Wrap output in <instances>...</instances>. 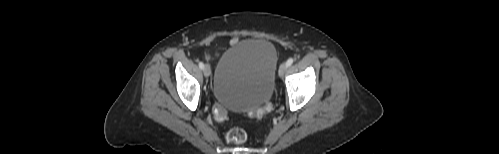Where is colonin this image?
I'll list each match as a JSON object with an SVG mask.
<instances>
[{"instance_id":"colon-1","label":"colon","mask_w":499,"mask_h":154,"mask_svg":"<svg viewBox=\"0 0 499 154\" xmlns=\"http://www.w3.org/2000/svg\"><path fill=\"white\" fill-rule=\"evenodd\" d=\"M270 109H271V104L268 103L262 108H258V109H255L253 111H250L249 115L253 116V117H260L264 113L269 111ZM213 117H214L216 122L223 123L228 118V110L224 106H222L221 104L217 103L213 107ZM225 137H226L227 141L233 142L236 144L244 143L247 139L246 132L241 128L230 129L226 133Z\"/></svg>"}]
</instances>
